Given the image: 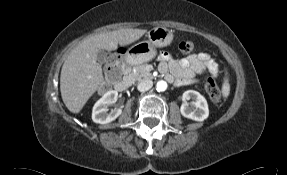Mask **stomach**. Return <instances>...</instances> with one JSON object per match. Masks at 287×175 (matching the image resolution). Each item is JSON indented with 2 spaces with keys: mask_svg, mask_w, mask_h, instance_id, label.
Wrapping results in <instances>:
<instances>
[{
  "mask_svg": "<svg viewBox=\"0 0 287 175\" xmlns=\"http://www.w3.org/2000/svg\"><path fill=\"white\" fill-rule=\"evenodd\" d=\"M148 40L131 46L125 61L130 65H138L152 60L156 56V47H165L173 40V33L165 27H154L148 32Z\"/></svg>",
  "mask_w": 287,
  "mask_h": 175,
  "instance_id": "obj_1",
  "label": "stomach"
}]
</instances>
